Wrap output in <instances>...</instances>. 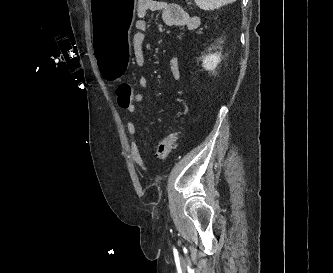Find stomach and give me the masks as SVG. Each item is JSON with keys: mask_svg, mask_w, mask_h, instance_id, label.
Wrapping results in <instances>:
<instances>
[{"mask_svg": "<svg viewBox=\"0 0 333 273\" xmlns=\"http://www.w3.org/2000/svg\"><path fill=\"white\" fill-rule=\"evenodd\" d=\"M136 0H93L92 32H95L93 55L98 62L97 75L101 81H120L128 75L130 58L129 32H133Z\"/></svg>", "mask_w": 333, "mask_h": 273, "instance_id": "stomach-1", "label": "stomach"}]
</instances>
